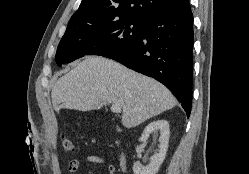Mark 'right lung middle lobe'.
Wrapping results in <instances>:
<instances>
[{
	"instance_id": "1",
	"label": "right lung middle lobe",
	"mask_w": 249,
	"mask_h": 174,
	"mask_svg": "<svg viewBox=\"0 0 249 174\" xmlns=\"http://www.w3.org/2000/svg\"><path fill=\"white\" fill-rule=\"evenodd\" d=\"M144 25L145 20L125 17L67 29L57 48L56 63L61 66L85 55L121 52L141 37Z\"/></svg>"
}]
</instances>
